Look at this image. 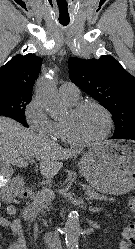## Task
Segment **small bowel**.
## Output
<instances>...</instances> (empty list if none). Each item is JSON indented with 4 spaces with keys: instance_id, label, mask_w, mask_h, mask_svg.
Instances as JSON below:
<instances>
[{
    "instance_id": "1",
    "label": "small bowel",
    "mask_w": 135,
    "mask_h": 249,
    "mask_svg": "<svg viewBox=\"0 0 135 249\" xmlns=\"http://www.w3.org/2000/svg\"><path fill=\"white\" fill-rule=\"evenodd\" d=\"M1 206L2 204L0 203V208ZM5 212L8 216H13L16 214L17 208L14 205H9L6 207ZM0 226L8 228L16 239V242L8 249H28L26 238L22 230V223L19 218L8 220L7 218L0 216Z\"/></svg>"
}]
</instances>
